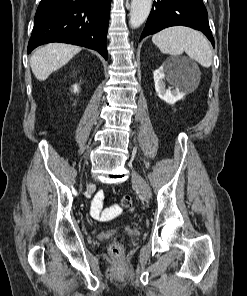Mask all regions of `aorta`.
Wrapping results in <instances>:
<instances>
[{
    "mask_svg": "<svg viewBox=\"0 0 247 296\" xmlns=\"http://www.w3.org/2000/svg\"><path fill=\"white\" fill-rule=\"evenodd\" d=\"M152 0H131L129 24L135 29L140 27L149 16Z\"/></svg>",
    "mask_w": 247,
    "mask_h": 296,
    "instance_id": "aorta-1",
    "label": "aorta"
}]
</instances>
